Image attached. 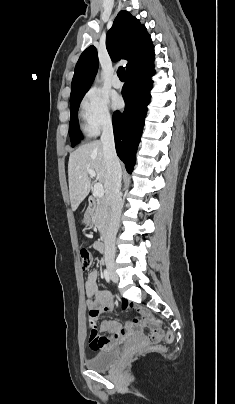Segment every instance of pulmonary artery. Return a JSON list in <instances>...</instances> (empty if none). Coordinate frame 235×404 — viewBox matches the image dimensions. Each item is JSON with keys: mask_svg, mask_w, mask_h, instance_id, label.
Listing matches in <instances>:
<instances>
[{"mask_svg": "<svg viewBox=\"0 0 235 404\" xmlns=\"http://www.w3.org/2000/svg\"><path fill=\"white\" fill-rule=\"evenodd\" d=\"M112 85L114 88L119 89L121 88L122 84L121 81L119 80V78L117 76H115L112 80Z\"/></svg>", "mask_w": 235, "mask_h": 404, "instance_id": "obj_1", "label": "pulmonary artery"}]
</instances>
